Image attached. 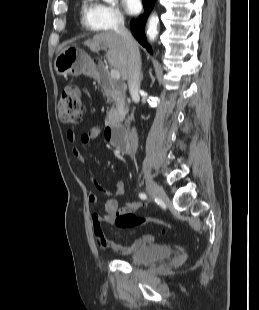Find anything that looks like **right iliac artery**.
Listing matches in <instances>:
<instances>
[{"instance_id": "right-iliac-artery-1", "label": "right iliac artery", "mask_w": 259, "mask_h": 310, "mask_svg": "<svg viewBox=\"0 0 259 310\" xmlns=\"http://www.w3.org/2000/svg\"><path fill=\"white\" fill-rule=\"evenodd\" d=\"M139 197H140L141 199H146V198H147V195H146L145 193H140V194H139Z\"/></svg>"}]
</instances>
